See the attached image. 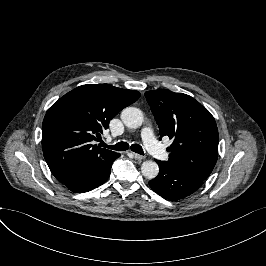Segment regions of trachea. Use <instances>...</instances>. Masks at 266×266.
<instances>
[{"mask_svg":"<svg viewBox=\"0 0 266 266\" xmlns=\"http://www.w3.org/2000/svg\"><path fill=\"white\" fill-rule=\"evenodd\" d=\"M105 148H109L112 150H117V151H125L129 149V144L127 142H119L113 146L105 144ZM131 150L135 153H138L140 155H144L143 149L140 145L138 144H132L131 145Z\"/></svg>","mask_w":266,"mask_h":266,"instance_id":"1","label":"trachea"}]
</instances>
